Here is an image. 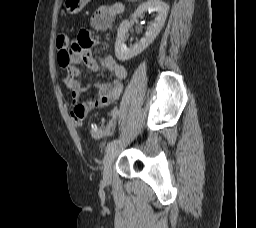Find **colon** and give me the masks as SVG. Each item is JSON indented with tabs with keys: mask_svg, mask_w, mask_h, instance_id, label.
<instances>
[{
	"mask_svg": "<svg viewBox=\"0 0 256 228\" xmlns=\"http://www.w3.org/2000/svg\"><path fill=\"white\" fill-rule=\"evenodd\" d=\"M70 44L69 38L66 35H59L57 38L58 49H66ZM108 129V124L103 122L100 124L93 123L90 128V135L93 138H100Z\"/></svg>",
	"mask_w": 256,
	"mask_h": 228,
	"instance_id": "1",
	"label": "colon"
}]
</instances>
